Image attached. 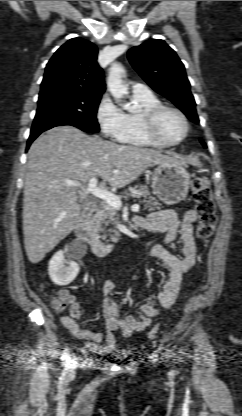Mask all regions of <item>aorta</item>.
Wrapping results in <instances>:
<instances>
[{
	"instance_id": "1",
	"label": "aorta",
	"mask_w": 242,
	"mask_h": 416,
	"mask_svg": "<svg viewBox=\"0 0 242 416\" xmlns=\"http://www.w3.org/2000/svg\"><path fill=\"white\" fill-rule=\"evenodd\" d=\"M124 68L117 63L112 64L109 70L107 78V86L112 96L120 100L128 93L127 87L123 84L122 76L124 74ZM123 108L127 111H133L134 107L130 104H125Z\"/></svg>"
}]
</instances>
